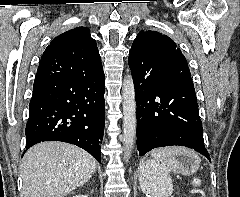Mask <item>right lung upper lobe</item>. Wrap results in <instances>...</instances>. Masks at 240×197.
<instances>
[{
  "mask_svg": "<svg viewBox=\"0 0 240 197\" xmlns=\"http://www.w3.org/2000/svg\"><path fill=\"white\" fill-rule=\"evenodd\" d=\"M102 70L98 48L89 29L77 27L51 41L41 57L34 83L56 78H82Z\"/></svg>",
  "mask_w": 240,
  "mask_h": 197,
  "instance_id": "cb5924a9",
  "label": "right lung upper lobe"
}]
</instances>
